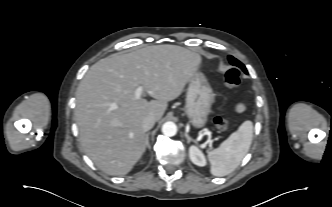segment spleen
I'll return each mask as SVG.
<instances>
[{"mask_svg":"<svg viewBox=\"0 0 332 207\" xmlns=\"http://www.w3.org/2000/svg\"><path fill=\"white\" fill-rule=\"evenodd\" d=\"M252 137L253 123L247 120L220 147L208 151L211 174L222 177L233 172L247 154L251 146Z\"/></svg>","mask_w":332,"mask_h":207,"instance_id":"3e777b00","label":"spleen"}]
</instances>
